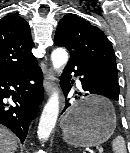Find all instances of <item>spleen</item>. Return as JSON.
I'll return each mask as SVG.
<instances>
[{
    "instance_id": "3e777b00",
    "label": "spleen",
    "mask_w": 130,
    "mask_h": 153,
    "mask_svg": "<svg viewBox=\"0 0 130 153\" xmlns=\"http://www.w3.org/2000/svg\"><path fill=\"white\" fill-rule=\"evenodd\" d=\"M113 151L115 153H126V145L123 137L117 136L112 142Z\"/></svg>"
}]
</instances>
